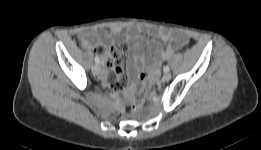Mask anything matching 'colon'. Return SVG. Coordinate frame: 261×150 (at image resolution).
<instances>
[{
	"mask_svg": "<svg viewBox=\"0 0 261 150\" xmlns=\"http://www.w3.org/2000/svg\"><path fill=\"white\" fill-rule=\"evenodd\" d=\"M150 78V73L141 75L140 85L132 93L131 106L133 109L138 110L145 104L148 97V84Z\"/></svg>",
	"mask_w": 261,
	"mask_h": 150,
	"instance_id": "1",
	"label": "colon"
}]
</instances>
